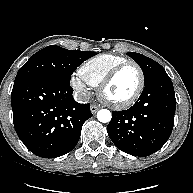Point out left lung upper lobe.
Here are the masks:
<instances>
[{"instance_id":"left-lung-upper-lobe-1","label":"left lung upper lobe","mask_w":193,"mask_h":193,"mask_svg":"<svg viewBox=\"0 0 193 193\" xmlns=\"http://www.w3.org/2000/svg\"><path fill=\"white\" fill-rule=\"evenodd\" d=\"M141 67L144 74L145 83L149 82L155 75L165 71L164 68L156 61L138 53H127Z\"/></svg>"}]
</instances>
